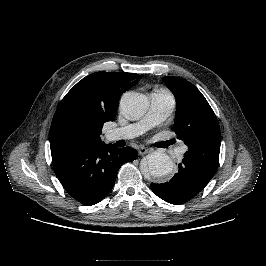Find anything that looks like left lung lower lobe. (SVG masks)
I'll use <instances>...</instances> for the list:
<instances>
[{
  "instance_id": "0a47b994",
  "label": "left lung lower lobe",
  "mask_w": 266,
  "mask_h": 266,
  "mask_svg": "<svg viewBox=\"0 0 266 266\" xmlns=\"http://www.w3.org/2000/svg\"><path fill=\"white\" fill-rule=\"evenodd\" d=\"M213 176L214 173L183 159L178 172L170 181L162 184L151 183V189L164 201L179 205L195 197Z\"/></svg>"
}]
</instances>
